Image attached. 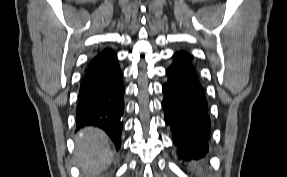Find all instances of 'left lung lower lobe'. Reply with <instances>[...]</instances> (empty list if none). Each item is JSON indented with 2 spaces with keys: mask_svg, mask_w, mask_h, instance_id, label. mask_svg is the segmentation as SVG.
I'll list each match as a JSON object with an SVG mask.
<instances>
[{
  "mask_svg": "<svg viewBox=\"0 0 287 177\" xmlns=\"http://www.w3.org/2000/svg\"><path fill=\"white\" fill-rule=\"evenodd\" d=\"M167 69L163 85L165 122L173 133V142L183 160L205 156L208 152L210 117L203 87L198 79L193 56L177 52Z\"/></svg>",
  "mask_w": 287,
  "mask_h": 177,
  "instance_id": "obj_1",
  "label": "left lung lower lobe"
}]
</instances>
